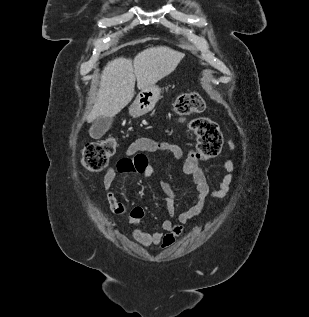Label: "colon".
I'll return each mask as SVG.
<instances>
[{
  "mask_svg": "<svg viewBox=\"0 0 309 317\" xmlns=\"http://www.w3.org/2000/svg\"><path fill=\"white\" fill-rule=\"evenodd\" d=\"M204 107L203 98L195 92L183 93L174 102V112L182 116L200 113ZM191 128L197 137V158L206 160L216 157L223 143L218 125L207 117H198L192 120ZM115 150L116 140L113 137L90 142L83 150L82 165L91 172L102 171Z\"/></svg>",
  "mask_w": 309,
  "mask_h": 317,
  "instance_id": "1",
  "label": "colon"
}]
</instances>
